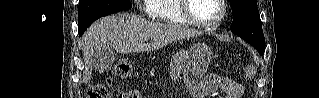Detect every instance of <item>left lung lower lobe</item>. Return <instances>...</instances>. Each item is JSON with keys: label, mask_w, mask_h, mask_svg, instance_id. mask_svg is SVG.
I'll return each mask as SVG.
<instances>
[{"label": "left lung lower lobe", "mask_w": 319, "mask_h": 98, "mask_svg": "<svg viewBox=\"0 0 319 98\" xmlns=\"http://www.w3.org/2000/svg\"><path fill=\"white\" fill-rule=\"evenodd\" d=\"M259 51L260 54H264V50L262 49H257Z\"/></svg>", "instance_id": "0a47b994"}]
</instances>
